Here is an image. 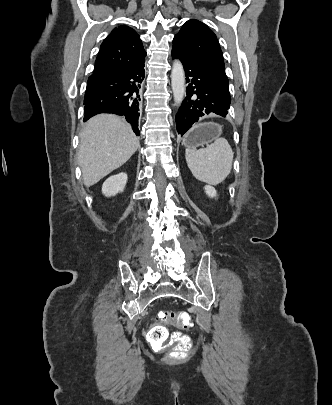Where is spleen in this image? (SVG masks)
Returning <instances> with one entry per match:
<instances>
[{"label": "spleen", "instance_id": "1", "mask_svg": "<svg viewBox=\"0 0 332 405\" xmlns=\"http://www.w3.org/2000/svg\"><path fill=\"white\" fill-rule=\"evenodd\" d=\"M185 157L192 175L197 180L217 185L230 174L234 153L225 138H217L206 148L186 149Z\"/></svg>", "mask_w": 332, "mask_h": 405}]
</instances>
